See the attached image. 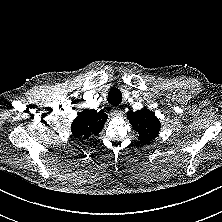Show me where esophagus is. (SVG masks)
<instances>
[{
	"label": "esophagus",
	"instance_id": "esophagus-1",
	"mask_svg": "<svg viewBox=\"0 0 222 222\" xmlns=\"http://www.w3.org/2000/svg\"><path fill=\"white\" fill-rule=\"evenodd\" d=\"M111 114H112L113 116H120V115H122V110H121V108H119V107H113V108L111 109Z\"/></svg>",
	"mask_w": 222,
	"mask_h": 222
}]
</instances>
